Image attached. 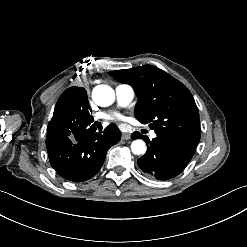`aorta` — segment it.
Segmentation results:
<instances>
[{
	"label": "aorta",
	"instance_id": "1",
	"mask_svg": "<svg viewBox=\"0 0 247 247\" xmlns=\"http://www.w3.org/2000/svg\"><path fill=\"white\" fill-rule=\"evenodd\" d=\"M93 101L101 107L110 106L115 99L114 90L108 85H98L92 91ZM131 150L135 155L144 154L147 150L146 144L143 140H134L131 144Z\"/></svg>",
	"mask_w": 247,
	"mask_h": 247
}]
</instances>
